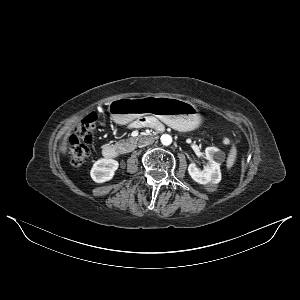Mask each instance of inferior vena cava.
<instances>
[{
    "label": "inferior vena cava",
    "mask_w": 300,
    "mask_h": 300,
    "mask_svg": "<svg viewBox=\"0 0 300 300\" xmlns=\"http://www.w3.org/2000/svg\"><path fill=\"white\" fill-rule=\"evenodd\" d=\"M154 142V139L152 137H145L139 140L138 146L139 147H145L148 145H151Z\"/></svg>",
    "instance_id": "602c4592"
}]
</instances>
